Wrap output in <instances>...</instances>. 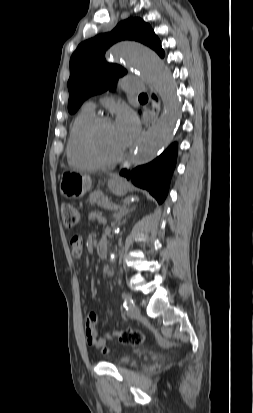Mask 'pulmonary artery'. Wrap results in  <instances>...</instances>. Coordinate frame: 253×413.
<instances>
[{
    "mask_svg": "<svg viewBox=\"0 0 253 413\" xmlns=\"http://www.w3.org/2000/svg\"><path fill=\"white\" fill-rule=\"evenodd\" d=\"M124 89L130 92L139 93L144 90V87L141 83L127 82L126 85L124 86ZM84 108L94 111L95 104L93 102H87Z\"/></svg>",
    "mask_w": 253,
    "mask_h": 413,
    "instance_id": "pulmonary-artery-1",
    "label": "pulmonary artery"
}]
</instances>
